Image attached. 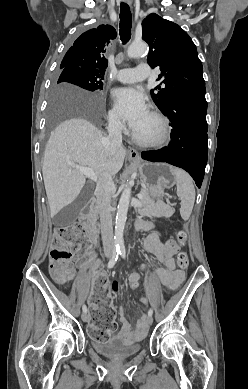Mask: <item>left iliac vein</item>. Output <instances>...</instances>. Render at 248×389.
<instances>
[{
  "label": "left iliac vein",
  "mask_w": 248,
  "mask_h": 389,
  "mask_svg": "<svg viewBox=\"0 0 248 389\" xmlns=\"http://www.w3.org/2000/svg\"><path fill=\"white\" fill-rule=\"evenodd\" d=\"M147 323H148L149 325H151V324L153 323V317H152V316H148V317H147Z\"/></svg>",
  "instance_id": "obj_1"
}]
</instances>
